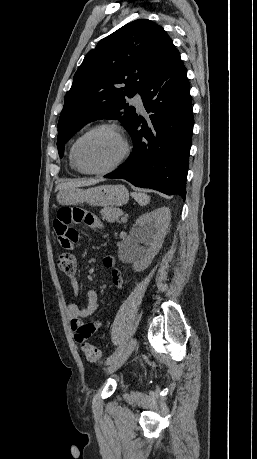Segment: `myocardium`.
<instances>
[{"instance_id": "obj_1", "label": "myocardium", "mask_w": 257, "mask_h": 459, "mask_svg": "<svg viewBox=\"0 0 257 459\" xmlns=\"http://www.w3.org/2000/svg\"><path fill=\"white\" fill-rule=\"evenodd\" d=\"M100 130H109V131L113 132L114 134H116L119 137V139L121 140V142H122L123 150H122V153L119 156V158L112 165H110V166H108L106 168H103V169H87V168L83 167L82 164L80 163V161L78 159V156H77V149H78V146L81 143V141H83L89 135H91V134H93V133H95L97 131H100ZM129 153H130V145H129L128 139H127L124 131L118 125L112 124V123H101V124H98V125H95V126L91 127L90 129H88L86 132H84L81 136H79L76 139V141L73 143L72 148H71V156H72V160H73L76 168L81 173L93 174V175L108 174V173L113 172L114 170L118 169L124 163V161L127 159V157L129 156Z\"/></svg>"}]
</instances>
